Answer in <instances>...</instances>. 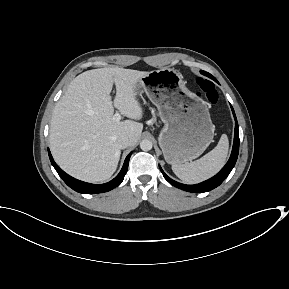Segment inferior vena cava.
<instances>
[{"mask_svg":"<svg viewBox=\"0 0 289 289\" xmlns=\"http://www.w3.org/2000/svg\"><path fill=\"white\" fill-rule=\"evenodd\" d=\"M129 145H130V141H129L128 137L122 136V137H119V138L117 139V146H118L120 149H125V148H127Z\"/></svg>","mask_w":289,"mask_h":289,"instance_id":"inferior-vena-cava-1","label":"inferior vena cava"}]
</instances>
